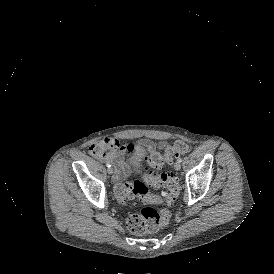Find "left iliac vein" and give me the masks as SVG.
<instances>
[{
  "mask_svg": "<svg viewBox=\"0 0 274 274\" xmlns=\"http://www.w3.org/2000/svg\"><path fill=\"white\" fill-rule=\"evenodd\" d=\"M174 169H175V170H180V169H181V164H180L179 162H176V163L174 164Z\"/></svg>",
  "mask_w": 274,
  "mask_h": 274,
  "instance_id": "left-iliac-vein-1",
  "label": "left iliac vein"
}]
</instances>
